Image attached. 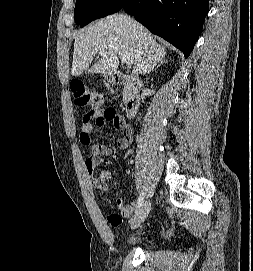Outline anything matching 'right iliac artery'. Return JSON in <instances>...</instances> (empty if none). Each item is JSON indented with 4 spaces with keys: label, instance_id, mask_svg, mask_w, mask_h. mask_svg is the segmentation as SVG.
Segmentation results:
<instances>
[{
    "label": "right iliac artery",
    "instance_id": "right-iliac-artery-1",
    "mask_svg": "<svg viewBox=\"0 0 253 271\" xmlns=\"http://www.w3.org/2000/svg\"><path fill=\"white\" fill-rule=\"evenodd\" d=\"M143 202H144V197L142 194H140L138 201H137V211L141 208V206L143 205Z\"/></svg>",
    "mask_w": 253,
    "mask_h": 271
}]
</instances>
